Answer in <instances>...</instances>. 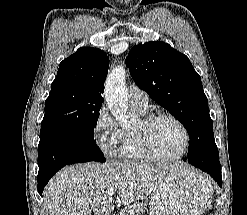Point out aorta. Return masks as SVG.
Segmentation results:
<instances>
[{"instance_id": "1", "label": "aorta", "mask_w": 247, "mask_h": 215, "mask_svg": "<svg viewBox=\"0 0 247 215\" xmlns=\"http://www.w3.org/2000/svg\"><path fill=\"white\" fill-rule=\"evenodd\" d=\"M126 70L120 65L107 76L104 95L111 114L122 127L136 122L135 116L128 110V92L126 88Z\"/></svg>"}]
</instances>
